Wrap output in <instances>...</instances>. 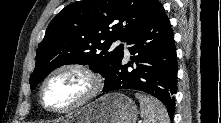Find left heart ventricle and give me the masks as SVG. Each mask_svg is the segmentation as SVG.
Here are the masks:
<instances>
[{
    "instance_id": "1",
    "label": "left heart ventricle",
    "mask_w": 221,
    "mask_h": 123,
    "mask_svg": "<svg viewBox=\"0 0 221 123\" xmlns=\"http://www.w3.org/2000/svg\"><path fill=\"white\" fill-rule=\"evenodd\" d=\"M90 82L81 73L64 71L55 75L46 85L45 102L55 108H63L80 100L89 90Z\"/></svg>"
}]
</instances>
